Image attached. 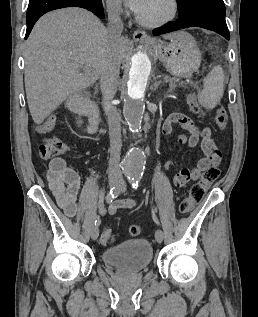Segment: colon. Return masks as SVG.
Wrapping results in <instances>:
<instances>
[{
	"label": "colon",
	"instance_id": "colon-1",
	"mask_svg": "<svg viewBox=\"0 0 258 317\" xmlns=\"http://www.w3.org/2000/svg\"><path fill=\"white\" fill-rule=\"evenodd\" d=\"M191 110L196 114H202L203 110L199 105L195 96H191L189 99ZM215 122L219 129L226 130L229 126L228 115L225 110L218 109L215 113ZM68 151V146L62 140L51 137L46 138L38 146L37 154L43 160L58 157L65 154ZM220 174L219 167L217 165L208 166L201 177V179L194 184L189 194L184 198L180 204L179 210L183 214L190 213L195 206L203 199L210 185L218 178ZM132 235L136 236L140 234L141 228L138 225H133L130 229ZM115 242V234L110 228H105L100 236V243L102 245H111Z\"/></svg>",
	"mask_w": 258,
	"mask_h": 317
}]
</instances>
